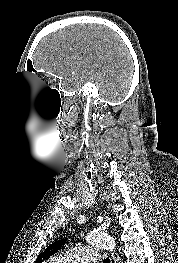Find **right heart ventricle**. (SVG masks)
I'll return each instance as SVG.
<instances>
[{"instance_id":"right-heart-ventricle-1","label":"right heart ventricle","mask_w":178,"mask_h":263,"mask_svg":"<svg viewBox=\"0 0 178 263\" xmlns=\"http://www.w3.org/2000/svg\"><path fill=\"white\" fill-rule=\"evenodd\" d=\"M49 263H59V262L56 259H53Z\"/></svg>"}]
</instances>
